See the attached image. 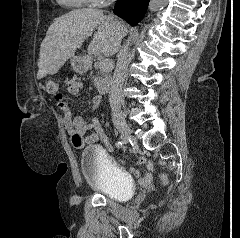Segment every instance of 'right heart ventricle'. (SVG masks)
I'll list each match as a JSON object with an SVG mask.
<instances>
[{
    "mask_svg": "<svg viewBox=\"0 0 240 238\" xmlns=\"http://www.w3.org/2000/svg\"><path fill=\"white\" fill-rule=\"evenodd\" d=\"M60 5L67 8H81L90 3L91 0H56Z\"/></svg>",
    "mask_w": 240,
    "mask_h": 238,
    "instance_id": "obj_1",
    "label": "right heart ventricle"
}]
</instances>
